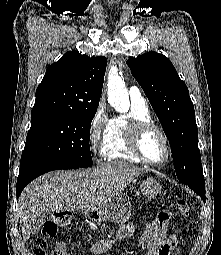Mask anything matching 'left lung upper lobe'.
Wrapping results in <instances>:
<instances>
[{
  "instance_id": "left-lung-upper-lobe-1",
  "label": "left lung upper lobe",
  "mask_w": 221,
  "mask_h": 255,
  "mask_svg": "<svg viewBox=\"0 0 221 255\" xmlns=\"http://www.w3.org/2000/svg\"><path fill=\"white\" fill-rule=\"evenodd\" d=\"M169 140L177 178L183 184L205 183L198 148L194 105L172 62L149 52L127 61Z\"/></svg>"
}]
</instances>
